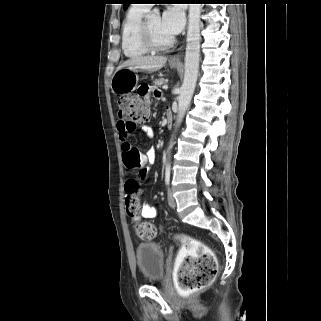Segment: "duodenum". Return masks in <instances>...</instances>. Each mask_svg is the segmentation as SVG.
<instances>
[{"label": "duodenum", "instance_id": "410a0bca", "mask_svg": "<svg viewBox=\"0 0 321 321\" xmlns=\"http://www.w3.org/2000/svg\"><path fill=\"white\" fill-rule=\"evenodd\" d=\"M172 122H173L172 114L168 112L166 114V126L170 128L172 126Z\"/></svg>", "mask_w": 321, "mask_h": 321}]
</instances>
